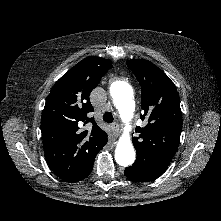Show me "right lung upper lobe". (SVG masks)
Returning <instances> with one entry per match:
<instances>
[{"instance_id":"right-lung-upper-lobe-1","label":"right lung upper lobe","mask_w":221,"mask_h":221,"mask_svg":"<svg viewBox=\"0 0 221 221\" xmlns=\"http://www.w3.org/2000/svg\"><path fill=\"white\" fill-rule=\"evenodd\" d=\"M112 67L110 60L89 56L52 87L41 118L47 162L62 180L73 183L83 179L97 153L108 138L87 114L93 111L89 96L101 77ZM92 123V128L83 127Z\"/></svg>"}]
</instances>
